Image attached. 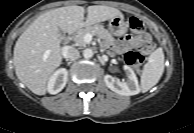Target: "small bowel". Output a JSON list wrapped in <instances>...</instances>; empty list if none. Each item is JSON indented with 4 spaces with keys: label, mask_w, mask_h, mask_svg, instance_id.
Returning a JSON list of instances; mask_svg holds the SVG:
<instances>
[{
    "label": "small bowel",
    "mask_w": 194,
    "mask_h": 133,
    "mask_svg": "<svg viewBox=\"0 0 194 133\" xmlns=\"http://www.w3.org/2000/svg\"><path fill=\"white\" fill-rule=\"evenodd\" d=\"M117 48L120 51L141 48L143 54H150L155 50V45L151 43L149 35L142 36H124L119 40Z\"/></svg>",
    "instance_id": "small-bowel-1"
}]
</instances>
